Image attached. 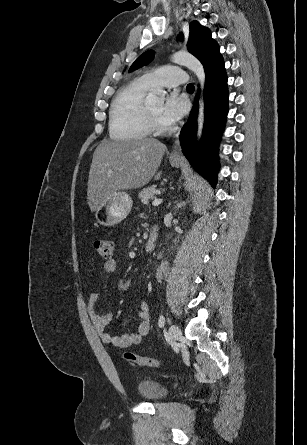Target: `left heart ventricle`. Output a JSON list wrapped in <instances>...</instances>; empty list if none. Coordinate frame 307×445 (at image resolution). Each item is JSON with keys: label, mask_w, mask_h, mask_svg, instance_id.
Instances as JSON below:
<instances>
[{"label": "left heart ventricle", "mask_w": 307, "mask_h": 445, "mask_svg": "<svg viewBox=\"0 0 307 445\" xmlns=\"http://www.w3.org/2000/svg\"><path fill=\"white\" fill-rule=\"evenodd\" d=\"M163 106V99L162 98H155L149 102V107L154 114V116L164 125L165 124L161 119V110Z\"/></svg>", "instance_id": "1"}]
</instances>
